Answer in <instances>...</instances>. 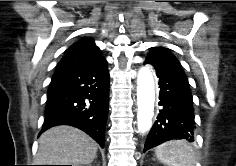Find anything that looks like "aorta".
<instances>
[{"label": "aorta", "instance_id": "762f6f07", "mask_svg": "<svg viewBox=\"0 0 236 166\" xmlns=\"http://www.w3.org/2000/svg\"><path fill=\"white\" fill-rule=\"evenodd\" d=\"M155 102V84L152 72L142 67L137 77V125L141 133H145L152 126Z\"/></svg>", "mask_w": 236, "mask_h": 166}]
</instances>
